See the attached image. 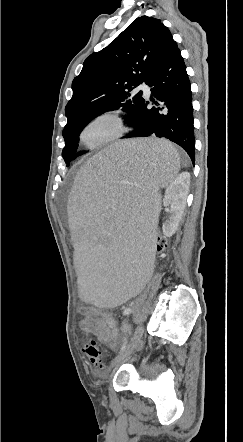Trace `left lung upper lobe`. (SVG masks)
Listing matches in <instances>:
<instances>
[{"label":"left lung upper lobe","instance_id":"1","mask_svg":"<svg viewBox=\"0 0 243 442\" xmlns=\"http://www.w3.org/2000/svg\"><path fill=\"white\" fill-rule=\"evenodd\" d=\"M169 29L159 19L142 16L135 19L116 39L83 63L81 73L72 82L73 96L67 103V124L63 130L62 156L69 166L76 154L79 134L96 116L122 109L129 122L143 98L130 91L144 79L165 45Z\"/></svg>","mask_w":243,"mask_h":442}]
</instances>
